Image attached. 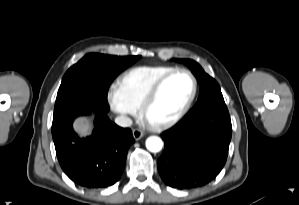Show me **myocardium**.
Wrapping results in <instances>:
<instances>
[{
    "label": "myocardium",
    "instance_id": "myocardium-1",
    "mask_svg": "<svg viewBox=\"0 0 299 205\" xmlns=\"http://www.w3.org/2000/svg\"><path fill=\"white\" fill-rule=\"evenodd\" d=\"M179 73H185L191 78L192 91H191L189 98L187 99L185 104L173 116L163 119V120H160V121H156V122L149 121L147 118V114H148L151 106L155 102L162 87L171 77H173L174 75L179 74ZM197 87H198L197 79H196L195 75L190 70L185 69V68H175L174 70L163 75L152 86V88L147 93L146 97L144 98V100L142 101V103L140 105V108H139L140 117L146 122V124L150 128H152L154 130H161V129H165V128H168V127L174 125L181 118H183V116L189 111V109H190L191 105L193 104L194 99L196 97Z\"/></svg>",
    "mask_w": 299,
    "mask_h": 205
}]
</instances>
